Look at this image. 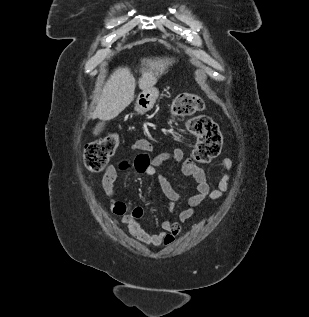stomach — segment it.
<instances>
[{
  "instance_id": "stomach-1",
  "label": "stomach",
  "mask_w": 309,
  "mask_h": 317,
  "mask_svg": "<svg viewBox=\"0 0 309 317\" xmlns=\"http://www.w3.org/2000/svg\"><path fill=\"white\" fill-rule=\"evenodd\" d=\"M159 97V91L156 88L143 90L139 93L135 102V111L138 113H146L151 110Z\"/></svg>"
}]
</instances>
